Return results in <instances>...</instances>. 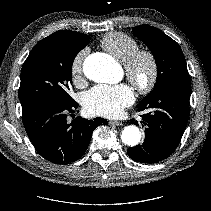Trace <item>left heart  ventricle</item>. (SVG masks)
<instances>
[{
    "instance_id": "left-heart-ventricle-1",
    "label": "left heart ventricle",
    "mask_w": 211,
    "mask_h": 211,
    "mask_svg": "<svg viewBox=\"0 0 211 211\" xmlns=\"http://www.w3.org/2000/svg\"><path fill=\"white\" fill-rule=\"evenodd\" d=\"M147 74V64L146 63H143L140 67V75L142 77H145Z\"/></svg>"
}]
</instances>
